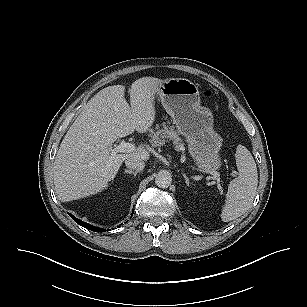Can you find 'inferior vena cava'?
<instances>
[{
  "label": "inferior vena cava",
  "mask_w": 307,
  "mask_h": 307,
  "mask_svg": "<svg viewBox=\"0 0 307 307\" xmlns=\"http://www.w3.org/2000/svg\"><path fill=\"white\" fill-rule=\"evenodd\" d=\"M125 165L128 168L134 169L139 172L142 171L145 167L144 161L136 157L127 158L125 160Z\"/></svg>",
  "instance_id": "obj_1"
}]
</instances>
